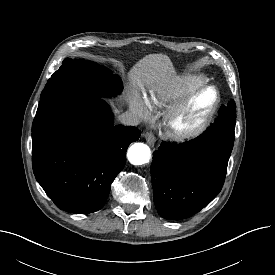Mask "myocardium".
I'll return each mask as SVG.
<instances>
[{"instance_id":"myocardium-1","label":"myocardium","mask_w":275,"mask_h":275,"mask_svg":"<svg viewBox=\"0 0 275 275\" xmlns=\"http://www.w3.org/2000/svg\"><path fill=\"white\" fill-rule=\"evenodd\" d=\"M206 91H213L215 94V100L211 108L205 114V116L199 122H197L195 125L189 128H186V129L177 128L175 125L177 119L187 110L190 103L197 95ZM219 104H220V94L218 89L213 85L205 84L201 87H198L190 91L188 94H186L182 99H180L177 103L172 105L166 111L163 118V126L167 136L175 141H185L200 135L202 132H204L207 129V127L212 122L218 110Z\"/></svg>"}]
</instances>
